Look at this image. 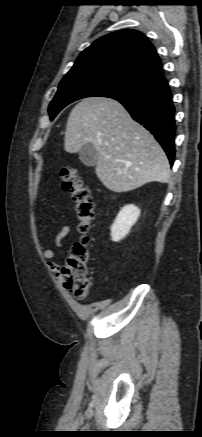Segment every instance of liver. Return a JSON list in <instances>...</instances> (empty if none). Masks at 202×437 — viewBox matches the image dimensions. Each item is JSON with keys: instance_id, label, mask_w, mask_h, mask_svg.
Masks as SVG:
<instances>
[{"instance_id": "6515ba94", "label": "liver", "mask_w": 202, "mask_h": 437, "mask_svg": "<svg viewBox=\"0 0 202 437\" xmlns=\"http://www.w3.org/2000/svg\"><path fill=\"white\" fill-rule=\"evenodd\" d=\"M86 143L95 147L96 174L111 191L128 192L170 179V165L162 147L114 99L85 98L72 109L64 149L77 153Z\"/></svg>"}]
</instances>
